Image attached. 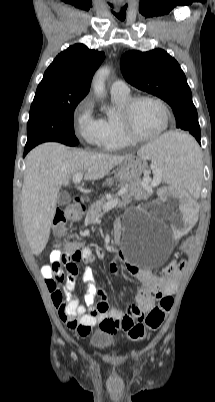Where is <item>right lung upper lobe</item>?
I'll use <instances>...</instances> for the list:
<instances>
[{"label": "right lung upper lobe", "instance_id": "obj_1", "mask_svg": "<svg viewBox=\"0 0 215 402\" xmlns=\"http://www.w3.org/2000/svg\"><path fill=\"white\" fill-rule=\"evenodd\" d=\"M104 57V52L88 49L83 44L70 46L47 68L35 95L84 98Z\"/></svg>", "mask_w": 215, "mask_h": 402}]
</instances>
